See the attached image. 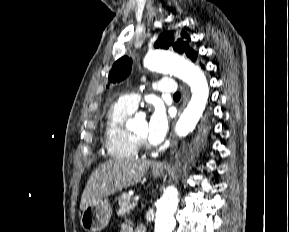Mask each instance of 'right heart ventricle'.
Listing matches in <instances>:
<instances>
[{"mask_svg":"<svg viewBox=\"0 0 289 232\" xmlns=\"http://www.w3.org/2000/svg\"><path fill=\"white\" fill-rule=\"evenodd\" d=\"M134 110L128 108L120 100L108 109L104 124V143L112 157L133 158L138 155L139 145L125 128V121Z\"/></svg>","mask_w":289,"mask_h":232,"instance_id":"obj_1","label":"right heart ventricle"}]
</instances>
